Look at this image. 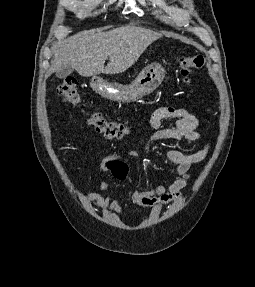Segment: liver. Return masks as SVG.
Returning <instances> with one entry per match:
<instances>
[{"label":"liver","mask_w":255,"mask_h":287,"mask_svg":"<svg viewBox=\"0 0 255 287\" xmlns=\"http://www.w3.org/2000/svg\"><path fill=\"white\" fill-rule=\"evenodd\" d=\"M158 38L161 34L136 26H122L111 32L85 30L64 40L62 46H55L52 64L55 70L72 66L84 78L97 74H122ZM107 58L110 62L105 68Z\"/></svg>","instance_id":"6515ba94"}]
</instances>
